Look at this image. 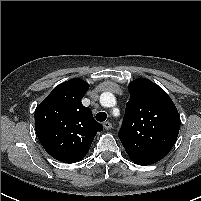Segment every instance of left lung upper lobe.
Masks as SVG:
<instances>
[{
    "label": "left lung upper lobe",
    "mask_w": 201,
    "mask_h": 201,
    "mask_svg": "<svg viewBox=\"0 0 201 201\" xmlns=\"http://www.w3.org/2000/svg\"><path fill=\"white\" fill-rule=\"evenodd\" d=\"M129 92L118 136L132 161L150 165L164 158L175 144L180 116L168 94L148 79L131 82Z\"/></svg>",
    "instance_id": "1"
}]
</instances>
